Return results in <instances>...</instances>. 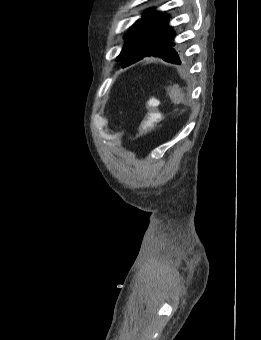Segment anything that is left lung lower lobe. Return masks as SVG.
Here are the masks:
<instances>
[{
    "mask_svg": "<svg viewBox=\"0 0 261 340\" xmlns=\"http://www.w3.org/2000/svg\"><path fill=\"white\" fill-rule=\"evenodd\" d=\"M161 15H163L168 20L167 14L161 12ZM145 56L161 57L164 61H167V62H170V63H174V64H181V55L175 53L171 49H165V50H163L161 52H153V53L144 55L141 58H138V59H136L134 61H131L130 63L123 64L122 67L129 66V65L133 64L134 62L141 60Z\"/></svg>",
    "mask_w": 261,
    "mask_h": 340,
    "instance_id": "0a47b994",
    "label": "left lung lower lobe"
}]
</instances>
